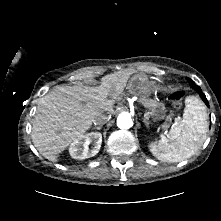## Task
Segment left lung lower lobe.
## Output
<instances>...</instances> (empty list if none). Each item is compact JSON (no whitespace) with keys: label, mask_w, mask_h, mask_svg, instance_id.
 <instances>
[{"label":"left lung lower lobe","mask_w":221,"mask_h":221,"mask_svg":"<svg viewBox=\"0 0 221 221\" xmlns=\"http://www.w3.org/2000/svg\"><path fill=\"white\" fill-rule=\"evenodd\" d=\"M193 83H194V82H193ZM192 87L198 91V93H199V95L201 96V98H202V100L204 101V103H205L207 106H209V103H208V101H207V99H206V96H205V94L202 92L201 88H200L199 86H197V85H194V84L192 85Z\"/></svg>","instance_id":"obj_1"}]
</instances>
